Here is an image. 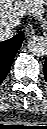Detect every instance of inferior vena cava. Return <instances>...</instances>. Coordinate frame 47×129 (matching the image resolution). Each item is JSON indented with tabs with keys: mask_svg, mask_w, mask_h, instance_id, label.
I'll use <instances>...</instances> for the list:
<instances>
[{
	"mask_svg": "<svg viewBox=\"0 0 47 129\" xmlns=\"http://www.w3.org/2000/svg\"><path fill=\"white\" fill-rule=\"evenodd\" d=\"M18 24L19 23L17 22L13 25H4V26L2 25L0 28V40H6L13 37L16 34L13 28Z\"/></svg>",
	"mask_w": 47,
	"mask_h": 129,
	"instance_id": "1",
	"label": "inferior vena cava"
}]
</instances>
